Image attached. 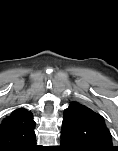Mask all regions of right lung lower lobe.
Segmentation results:
<instances>
[{
  "instance_id": "1",
  "label": "right lung lower lobe",
  "mask_w": 118,
  "mask_h": 151,
  "mask_svg": "<svg viewBox=\"0 0 118 151\" xmlns=\"http://www.w3.org/2000/svg\"><path fill=\"white\" fill-rule=\"evenodd\" d=\"M35 150H38L37 146L35 145V143L29 147L28 149L24 150V151H35Z\"/></svg>"
}]
</instances>
